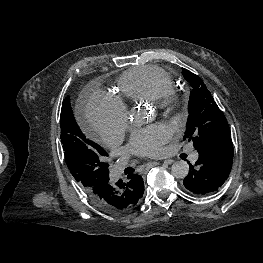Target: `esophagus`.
Listing matches in <instances>:
<instances>
[{"instance_id": "34e87169", "label": "esophagus", "mask_w": 263, "mask_h": 263, "mask_svg": "<svg viewBox=\"0 0 263 263\" xmlns=\"http://www.w3.org/2000/svg\"><path fill=\"white\" fill-rule=\"evenodd\" d=\"M168 163H171V162H168ZM158 164H159V162H157V161L149 162V163L147 164V167H153V166H156V165H158Z\"/></svg>"}]
</instances>
